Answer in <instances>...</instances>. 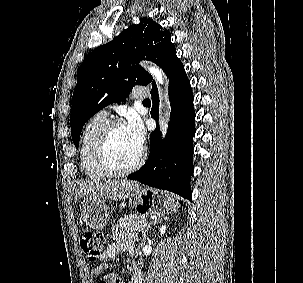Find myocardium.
I'll return each instance as SVG.
<instances>
[{
    "label": "myocardium",
    "mask_w": 303,
    "mask_h": 283,
    "mask_svg": "<svg viewBox=\"0 0 303 283\" xmlns=\"http://www.w3.org/2000/svg\"><path fill=\"white\" fill-rule=\"evenodd\" d=\"M124 126L119 120H109L100 131L94 147V157L97 166L106 175L111 177H121L136 171L144 162L145 151H141L133 164L125 168L116 167L109 155V141L113 130Z\"/></svg>",
    "instance_id": "1"
}]
</instances>
